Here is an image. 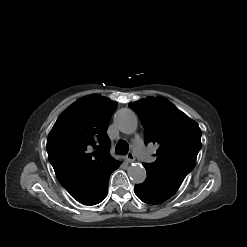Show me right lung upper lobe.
<instances>
[{
    "label": "right lung upper lobe",
    "instance_id": "obj_1",
    "mask_svg": "<svg viewBox=\"0 0 247 247\" xmlns=\"http://www.w3.org/2000/svg\"><path fill=\"white\" fill-rule=\"evenodd\" d=\"M117 103L100 95L83 97L57 119L47 139L50 163L73 197L112 168L107 127Z\"/></svg>",
    "mask_w": 247,
    "mask_h": 247
}]
</instances>
